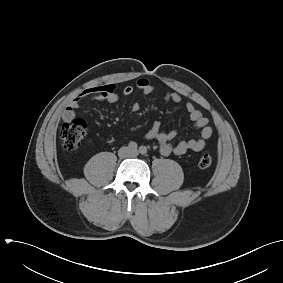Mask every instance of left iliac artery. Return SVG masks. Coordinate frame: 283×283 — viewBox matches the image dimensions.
I'll return each mask as SVG.
<instances>
[{"label":"left iliac artery","instance_id":"obj_1","mask_svg":"<svg viewBox=\"0 0 283 283\" xmlns=\"http://www.w3.org/2000/svg\"><path fill=\"white\" fill-rule=\"evenodd\" d=\"M139 152L142 154V155H146L147 154V148L145 146H140L139 147Z\"/></svg>","mask_w":283,"mask_h":283}]
</instances>
